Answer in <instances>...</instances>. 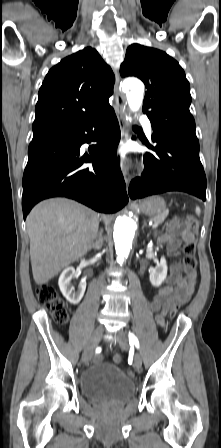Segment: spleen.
I'll return each mask as SVG.
<instances>
[{
    "instance_id": "spleen-1",
    "label": "spleen",
    "mask_w": 221,
    "mask_h": 448,
    "mask_svg": "<svg viewBox=\"0 0 221 448\" xmlns=\"http://www.w3.org/2000/svg\"><path fill=\"white\" fill-rule=\"evenodd\" d=\"M195 211H196V214H197V215L200 214V209H199V207H196V210H195Z\"/></svg>"
}]
</instances>
